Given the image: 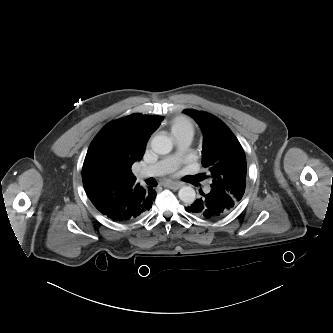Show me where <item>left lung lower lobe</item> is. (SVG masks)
<instances>
[{
	"instance_id": "left-lung-lower-lobe-1",
	"label": "left lung lower lobe",
	"mask_w": 333,
	"mask_h": 333,
	"mask_svg": "<svg viewBox=\"0 0 333 333\" xmlns=\"http://www.w3.org/2000/svg\"><path fill=\"white\" fill-rule=\"evenodd\" d=\"M201 197L195 200L186 211L205 220H217L229 214L237 203L223 191L210 189L201 193Z\"/></svg>"
}]
</instances>
